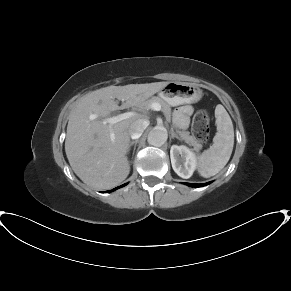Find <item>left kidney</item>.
<instances>
[{"mask_svg":"<svg viewBox=\"0 0 291 291\" xmlns=\"http://www.w3.org/2000/svg\"><path fill=\"white\" fill-rule=\"evenodd\" d=\"M172 168L181 178L188 179L196 169L195 154L184 145H173L170 150Z\"/></svg>","mask_w":291,"mask_h":291,"instance_id":"obj_1","label":"left kidney"}]
</instances>
